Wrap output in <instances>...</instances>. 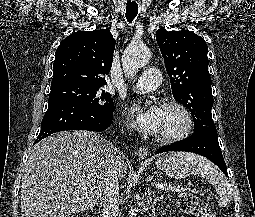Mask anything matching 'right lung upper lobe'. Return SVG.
<instances>
[{
	"instance_id": "right-lung-upper-lobe-1",
	"label": "right lung upper lobe",
	"mask_w": 255,
	"mask_h": 217,
	"mask_svg": "<svg viewBox=\"0 0 255 217\" xmlns=\"http://www.w3.org/2000/svg\"><path fill=\"white\" fill-rule=\"evenodd\" d=\"M115 39L108 29L77 31L55 52L52 86L81 84L102 87L112 66Z\"/></svg>"
}]
</instances>
